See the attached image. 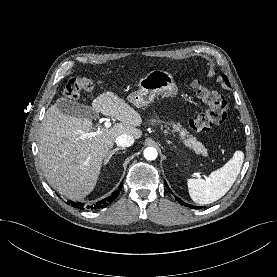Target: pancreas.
<instances>
[{
	"label": "pancreas",
	"mask_w": 277,
	"mask_h": 277,
	"mask_svg": "<svg viewBox=\"0 0 277 277\" xmlns=\"http://www.w3.org/2000/svg\"><path fill=\"white\" fill-rule=\"evenodd\" d=\"M169 125H172V133L179 132L180 137L184 139L185 143L189 147L193 148L198 153H202L204 155L206 154V149L203 144L199 142L194 136L190 135L184 128H182L179 123H169ZM167 129L170 130L169 127ZM165 133H168V131L165 130Z\"/></svg>",
	"instance_id": "obj_1"
}]
</instances>
